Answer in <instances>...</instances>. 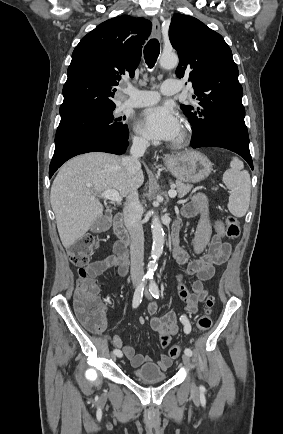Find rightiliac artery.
<instances>
[{
	"instance_id": "1",
	"label": "right iliac artery",
	"mask_w": 283,
	"mask_h": 434,
	"mask_svg": "<svg viewBox=\"0 0 283 434\" xmlns=\"http://www.w3.org/2000/svg\"><path fill=\"white\" fill-rule=\"evenodd\" d=\"M146 279H147V277H144L142 279L141 283L138 285V287L136 288V290L134 292L133 301H132V307L133 308H137L142 301ZM113 353L118 357H122V354L118 349H114Z\"/></svg>"
}]
</instances>
